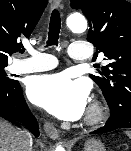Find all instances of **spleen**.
<instances>
[{
  "label": "spleen",
  "instance_id": "obj_1",
  "mask_svg": "<svg viewBox=\"0 0 131 151\" xmlns=\"http://www.w3.org/2000/svg\"><path fill=\"white\" fill-rule=\"evenodd\" d=\"M126 135L131 139V131H126Z\"/></svg>",
  "mask_w": 131,
  "mask_h": 151
}]
</instances>
